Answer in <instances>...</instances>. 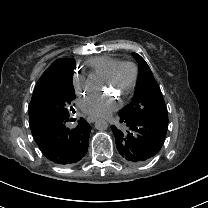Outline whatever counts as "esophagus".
Instances as JSON below:
<instances>
[{"label":"esophagus","instance_id":"1","mask_svg":"<svg viewBox=\"0 0 208 208\" xmlns=\"http://www.w3.org/2000/svg\"><path fill=\"white\" fill-rule=\"evenodd\" d=\"M96 120H97L96 117H93V116H88V117H87V121H88L89 123H94Z\"/></svg>","mask_w":208,"mask_h":208}]
</instances>
